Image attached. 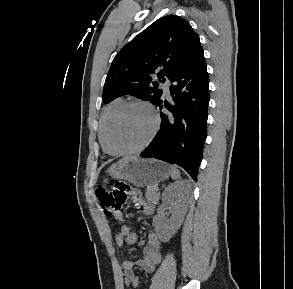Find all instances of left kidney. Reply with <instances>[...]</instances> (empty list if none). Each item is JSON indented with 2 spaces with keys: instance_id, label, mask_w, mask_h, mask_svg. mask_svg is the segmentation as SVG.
I'll use <instances>...</instances> for the list:
<instances>
[{
  "instance_id": "1",
  "label": "left kidney",
  "mask_w": 293,
  "mask_h": 289,
  "mask_svg": "<svg viewBox=\"0 0 293 289\" xmlns=\"http://www.w3.org/2000/svg\"><path fill=\"white\" fill-rule=\"evenodd\" d=\"M190 188L188 180H181L170 184L162 194V201L170 206L172 216L164 224L160 223L159 216H155L153 223L155 231L161 241L167 242L177 232L187 211V192ZM174 199L177 201L174 202Z\"/></svg>"
}]
</instances>
